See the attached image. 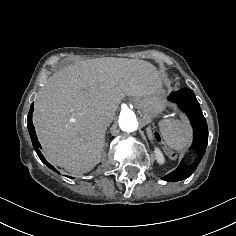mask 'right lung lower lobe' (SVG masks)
Instances as JSON below:
<instances>
[{"label": "right lung lower lobe", "instance_id": "obj_1", "mask_svg": "<svg viewBox=\"0 0 236 236\" xmlns=\"http://www.w3.org/2000/svg\"><path fill=\"white\" fill-rule=\"evenodd\" d=\"M34 110V103L31 104V107H30V111H29V114H28V130H29V133H30V137H31V140H32V144L34 146V149L37 151V154L39 156V158L41 159L42 162H44L49 168H51L52 170L56 171L46 160L45 158L43 157V155L41 154V152L39 151V148H41V145L40 143L38 142L37 140V136H36V133H35V129H34V126H33V123H32V112Z\"/></svg>", "mask_w": 236, "mask_h": 236}]
</instances>
